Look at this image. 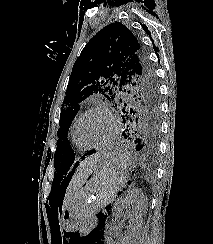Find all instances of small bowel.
Instances as JSON below:
<instances>
[{"label": "small bowel", "instance_id": "c3829d8e", "mask_svg": "<svg viewBox=\"0 0 213 244\" xmlns=\"http://www.w3.org/2000/svg\"><path fill=\"white\" fill-rule=\"evenodd\" d=\"M99 244H104V242H99Z\"/></svg>", "mask_w": 213, "mask_h": 244}]
</instances>
